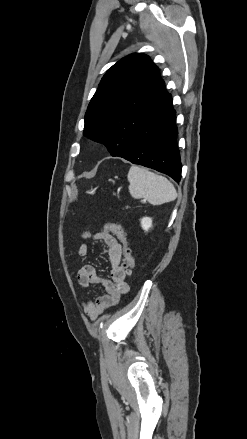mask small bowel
I'll list each match as a JSON object with an SVG mask.
<instances>
[{"mask_svg":"<svg viewBox=\"0 0 247 439\" xmlns=\"http://www.w3.org/2000/svg\"><path fill=\"white\" fill-rule=\"evenodd\" d=\"M84 238H92L104 242L105 251L111 266L110 278L100 277L95 267L91 264L83 265L77 274L78 282L82 287L88 288L91 285H100L106 291L103 296L95 300L87 299L82 302L86 315L91 319H96L106 309L116 305L119 298L129 291V286L126 283L127 272L122 263V245L112 235L110 230L103 228L96 232H85ZM88 251V245L82 243L78 248V255L86 257Z\"/></svg>","mask_w":247,"mask_h":439,"instance_id":"small-bowel-1","label":"small bowel"}]
</instances>
